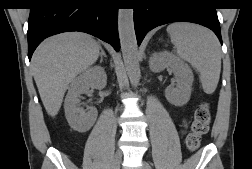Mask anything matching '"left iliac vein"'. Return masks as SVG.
<instances>
[{
  "label": "left iliac vein",
  "instance_id": "4c4485c4",
  "mask_svg": "<svg viewBox=\"0 0 252 169\" xmlns=\"http://www.w3.org/2000/svg\"><path fill=\"white\" fill-rule=\"evenodd\" d=\"M142 169H147V165L145 163L142 164Z\"/></svg>",
  "mask_w": 252,
  "mask_h": 169
}]
</instances>
